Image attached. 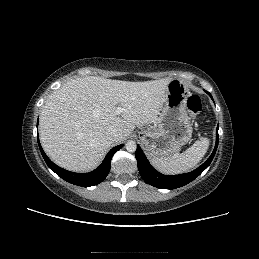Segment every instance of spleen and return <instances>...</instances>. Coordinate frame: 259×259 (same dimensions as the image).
Masks as SVG:
<instances>
[{
    "instance_id": "spleen-1",
    "label": "spleen",
    "mask_w": 259,
    "mask_h": 259,
    "mask_svg": "<svg viewBox=\"0 0 259 259\" xmlns=\"http://www.w3.org/2000/svg\"><path fill=\"white\" fill-rule=\"evenodd\" d=\"M209 148V139L204 137L181 153L165 158L151 159L152 165L164 174H180L195 167Z\"/></svg>"
}]
</instances>
